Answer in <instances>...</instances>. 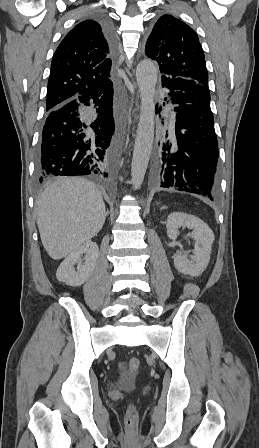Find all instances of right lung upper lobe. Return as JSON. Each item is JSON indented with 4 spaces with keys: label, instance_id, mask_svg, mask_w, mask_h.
<instances>
[{
    "label": "right lung upper lobe",
    "instance_id": "right-lung-upper-lobe-1",
    "mask_svg": "<svg viewBox=\"0 0 259 448\" xmlns=\"http://www.w3.org/2000/svg\"><path fill=\"white\" fill-rule=\"evenodd\" d=\"M111 65L110 45L102 26L93 19L77 24L53 55L46 110L112 86Z\"/></svg>",
    "mask_w": 259,
    "mask_h": 448
}]
</instances>
